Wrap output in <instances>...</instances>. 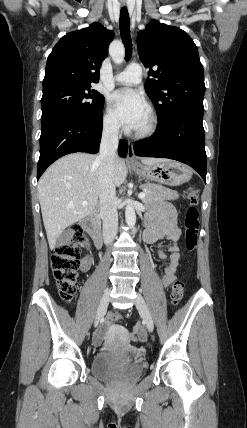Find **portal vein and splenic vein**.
I'll list each match as a JSON object with an SVG mask.
<instances>
[{
  "label": "portal vein and splenic vein",
  "instance_id": "portal-vein-and-splenic-vein-1",
  "mask_svg": "<svg viewBox=\"0 0 247 428\" xmlns=\"http://www.w3.org/2000/svg\"><path fill=\"white\" fill-rule=\"evenodd\" d=\"M146 196V193L145 192H141V193H139V195H138V197H139V199H143L144 197ZM82 205H87V201H83L82 202Z\"/></svg>",
  "mask_w": 247,
  "mask_h": 428
}]
</instances>
